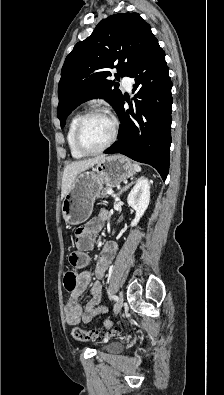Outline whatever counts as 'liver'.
I'll return each mask as SVG.
<instances>
[{
  "mask_svg": "<svg viewBox=\"0 0 224 395\" xmlns=\"http://www.w3.org/2000/svg\"><path fill=\"white\" fill-rule=\"evenodd\" d=\"M105 155H100L94 158L84 159L80 161H75L64 168L61 186V199L65 197L73 182L75 181L77 175L86 169L94 166L98 163Z\"/></svg>",
  "mask_w": 224,
  "mask_h": 395,
  "instance_id": "6515ba94",
  "label": "liver"
}]
</instances>
